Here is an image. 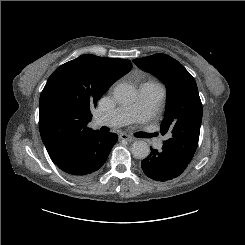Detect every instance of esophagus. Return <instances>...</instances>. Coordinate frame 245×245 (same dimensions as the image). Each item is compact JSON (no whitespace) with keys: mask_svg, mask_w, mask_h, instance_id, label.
<instances>
[{"mask_svg":"<svg viewBox=\"0 0 245 245\" xmlns=\"http://www.w3.org/2000/svg\"><path fill=\"white\" fill-rule=\"evenodd\" d=\"M119 138L122 139V140H127V141H129V142H132V141L135 140L134 137H132V136L126 134V133H121V134L119 135Z\"/></svg>","mask_w":245,"mask_h":245,"instance_id":"obj_1","label":"esophagus"}]
</instances>
